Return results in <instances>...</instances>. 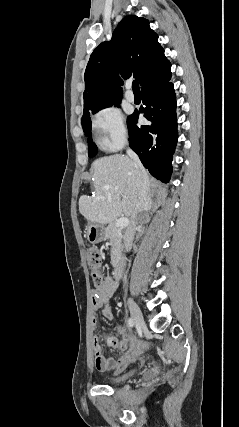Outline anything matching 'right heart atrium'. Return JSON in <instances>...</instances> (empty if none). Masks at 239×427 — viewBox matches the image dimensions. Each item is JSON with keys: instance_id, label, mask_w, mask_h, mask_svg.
<instances>
[{"instance_id": "obj_1", "label": "right heart atrium", "mask_w": 239, "mask_h": 427, "mask_svg": "<svg viewBox=\"0 0 239 427\" xmlns=\"http://www.w3.org/2000/svg\"><path fill=\"white\" fill-rule=\"evenodd\" d=\"M101 146L108 151L121 149L128 141V130L123 114L114 106L100 110L93 121Z\"/></svg>"}]
</instances>
